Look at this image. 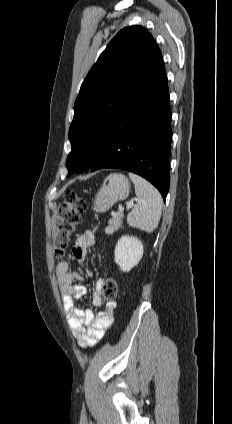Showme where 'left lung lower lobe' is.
<instances>
[{"label":"left lung lower lobe","mask_w":232,"mask_h":424,"mask_svg":"<svg viewBox=\"0 0 232 424\" xmlns=\"http://www.w3.org/2000/svg\"><path fill=\"white\" fill-rule=\"evenodd\" d=\"M171 138L169 90L161 60L115 121L91 171L119 168L136 173L151 182L165 201Z\"/></svg>","instance_id":"left-lung-lower-lobe-1"}]
</instances>
